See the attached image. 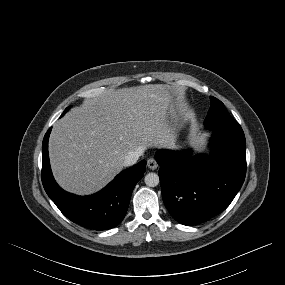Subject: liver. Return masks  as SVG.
Instances as JSON below:
<instances>
[{
  "instance_id": "1",
  "label": "liver",
  "mask_w": 285,
  "mask_h": 285,
  "mask_svg": "<svg viewBox=\"0 0 285 285\" xmlns=\"http://www.w3.org/2000/svg\"><path fill=\"white\" fill-rule=\"evenodd\" d=\"M167 85L109 90L86 99L54 124L53 175L66 191L88 195L109 183L132 152L171 147L173 103Z\"/></svg>"
}]
</instances>
